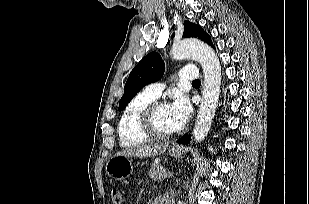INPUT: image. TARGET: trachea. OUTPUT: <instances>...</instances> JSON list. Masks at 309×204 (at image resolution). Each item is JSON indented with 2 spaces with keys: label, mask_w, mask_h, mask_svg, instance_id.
I'll return each instance as SVG.
<instances>
[{
  "label": "trachea",
  "mask_w": 309,
  "mask_h": 204,
  "mask_svg": "<svg viewBox=\"0 0 309 204\" xmlns=\"http://www.w3.org/2000/svg\"><path fill=\"white\" fill-rule=\"evenodd\" d=\"M192 84H201V81H200L199 79H197V80H194V81L192 82Z\"/></svg>",
  "instance_id": "1"
}]
</instances>
